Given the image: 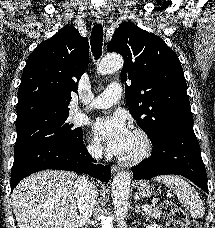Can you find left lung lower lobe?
<instances>
[{
    "label": "left lung lower lobe",
    "mask_w": 215,
    "mask_h": 228,
    "mask_svg": "<svg viewBox=\"0 0 215 228\" xmlns=\"http://www.w3.org/2000/svg\"><path fill=\"white\" fill-rule=\"evenodd\" d=\"M152 145L151 157L132 168L134 179L182 175L208 193L206 170L192 124L163 131Z\"/></svg>",
    "instance_id": "0a47b994"
}]
</instances>
